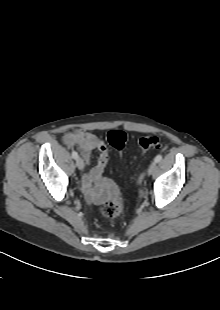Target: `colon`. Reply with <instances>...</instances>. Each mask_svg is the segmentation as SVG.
<instances>
[{
	"label": "colon",
	"instance_id": "obj_1",
	"mask_svg": "<svg viewBox=\"0 0 220 310\" xmlns=\"http://www.w3.org/2000/svg\"><path fill=\"white\" fill-rule=\"evenodd\" d=\"M108 143L117 150H121L126 143V134L120 130H112L107 134ZM161 139L156 135L144 136L139 139V146L143 152L159 148ZM123 210V201L119 189L115 185L111 197L104 201L101 213L104 217L113 219L118 217Z\"/></svg>",
	"mask_w": 220,
	"mask_h": 310
}]
</instances>
